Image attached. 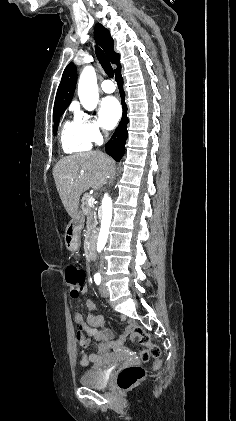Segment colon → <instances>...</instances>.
Returning <instances> with one entry per match:
<instances>
[{
  "mask_svg": "<svg viewBox=\"0 0 236 421\" xmlns=\"http://www.w3.org/2000/svg\"><path fill=\"white\" fill-rule=\"evenodd\" d=\"M66 280L73 298H78L84 292L85 271L78 266H69L66 269ZM132 339L137 340L143 347L139 350L142 361L150 358L158 359L160 348L151 342L150 336L142 328L136 326L132 329ZM145 377V369L140 365H131L122 369L117 376L118 387L128 391Z\"/></svg>",
  "mask_w": 236,
  "mask_h": 421,
  "instance_id": "1",
  "label": "colon"
}]
</instances>
